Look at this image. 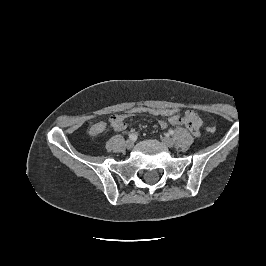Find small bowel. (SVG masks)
I'll list each match as a JSON object with an SVG mask.
<instances>
[{
  "label": "small bowel",
  "mask_w": 266,
  "mask_h": 266,
  "mask_svg": "<svg viewBox=\"0 0 266 266\" xmlns=\"http://www.w3.org/2000/svg\"><path fill=\"white\" fill-rule=\"evenodd\" d=\"M111 126L116 131H123L126 128L125 118L118 116L116 119L110 121ZM202 121L199 115L194 111H186L183 114H176L169 117L166 121L160 120L159 125L161 128H166L168 125L185 126L193 135L197 136L200 132ZM106 129V123L103 121L96 122L90 127V134L98 136Z\"/></svg>",
  "instance_id": "c3829d8e"
}]
</instances>
